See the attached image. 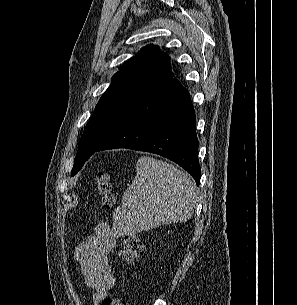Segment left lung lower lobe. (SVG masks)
Segmentation results:
<instances>
[{
	"label": "left lung lower lobe",
	"instance_id": "obj_1",
	"mask_svg": "<svg viewBox=\"0 0 297 305\" xmlns=\"http://www.w3.org/2000/svg\"><path fill=\"white\" fill-rule=\"evenodd\" d=\"M117 148L164 156L190 173L199 186L195 111L189 92L177 79L156 81L144 89L95 152Z\"/></svg>",
	"mask_w": 297,
	"mask_h": 305
}]
</instances>
